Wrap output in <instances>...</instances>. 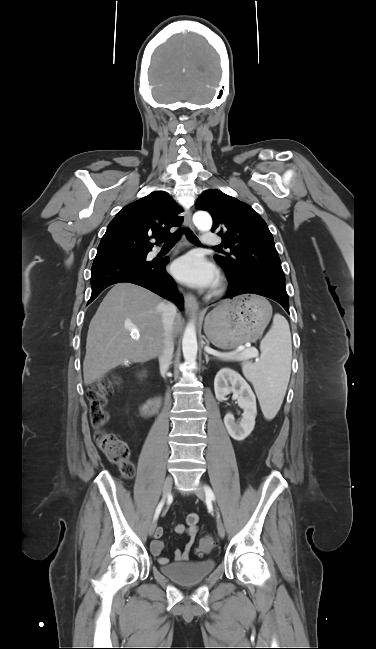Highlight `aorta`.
Returning <instances> with one entry per match:
<instances>
[{
	"mask_svg": "<svg viewBox=\"0 0 376 649\" xmlns=\"http://www.w3.org/2000/svg\"><path fill=\"white\" fill-rule=\"evenodd\" d=\"M193 222L200 231H208L212 227V218L205 211L196 212L193 216ZM182 351L185 362L192 365L197 358L198 344L195 325L190 321L184 331L182 339Z\"/></svg>",
	"mask_w": 376,
	"mask_h": 649,
	"instance_id": "1",
	"label": "aorta"
}]
</instances>
